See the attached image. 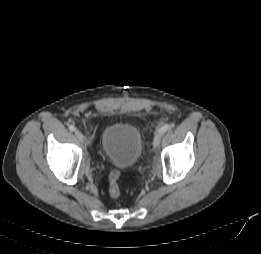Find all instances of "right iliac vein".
<instances>
[{"instance_id": "63e3f726", "label": "right iliac vein", "mask_w": 261, "mask_h": 254, "mask_svg": "<svg viewBox=\"0 0 261 254\" xmlns=\"http://www.w3.org/2000/svg\"><path fill=\"white\" fill-rule=\"evenodd\" d=\"M74 133L79 140L87 142V139L83 136L80 130L76 129Z\"/></svg>"}]
</instances>
